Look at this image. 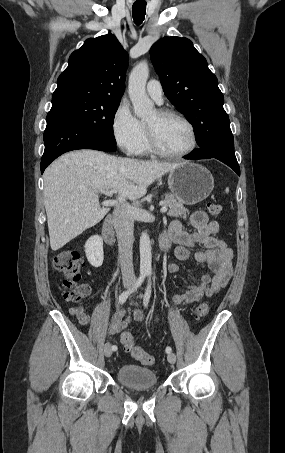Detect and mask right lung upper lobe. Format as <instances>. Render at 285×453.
I'll return each instance as SVG.
<instances>
[{
    "label": "right lung upper lobe",
    "instance_id": "obj_1",
    "mask_svg": "<svg viewBox=\"0 0 285 453\" xmlns=\"http://www.w3.org/2000/svg\"><path fill=\"white\" fill-rule=\"evenodd\" d=\"M127 63L128 55L113 34L89 38L70 55L68 67L58 77L52 100L67 96L121 100Z\"/></svg>",
    "mask_w": 285,
    "mask_h": 453
}]
</instances>
